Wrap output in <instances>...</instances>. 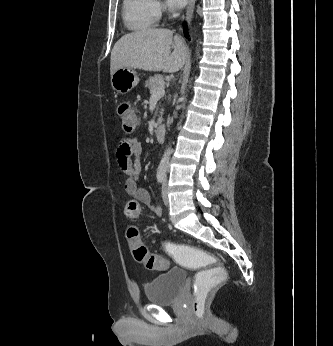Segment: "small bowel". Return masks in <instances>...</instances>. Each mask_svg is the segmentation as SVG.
Listing matches in <instances>:
<instances>
[{
	"label": "small bowel",
	"mask_w": 333,
	"mask_h": 346,
	"mask_svg": "<svg viewBox=\"0 0 333 346\" xmlns=\"http://www.w3.org/2000/svg\"><path fill=\"white\" fill-rule=\"evenodd\" d=\"M143 152L140 140L136 138L121 140L116 148V160L122 172L127 176L124 184V191L127 195L134 197L139 203L146 206L156 215L161 214V208L152 204L149 193L138 185L141 171V163L138 158ZM131 156L136 158L131 162Z\"/></svg>",
	"instance_id": "1"
}]
</instances>
